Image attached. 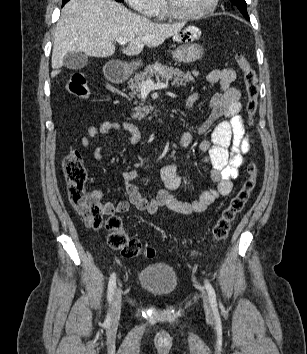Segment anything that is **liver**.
Listing matches in <instances>:
<instances>
[{
  "mask_svg": "<svg viewBox=\"0 0 307 354\" xmlns=\"http://www.w3.org/2000/svg\"><path fill=\"white\" fill-rule=\"evenodd\" d=\"M185 22L157 24L134 14L114 0H70L62 9L52 50L51 77L60 73L63 58L69 52L92 57H109L115 53L118 38L130 39L122 52L138 55L144 46L161 45L176 35Z\"/></svg>",
  "mask_w": 307,
  "mask_h": 354,
  "instance_id": "liver-1",
  "label": "liver"
}]
</instances>
